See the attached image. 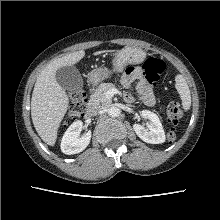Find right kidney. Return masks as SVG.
<instances>
[{
	"label": "right kidney",
	"instance_id": "ca27d5eb",
	"mask_svg": "<svg viewBox=\"0 0 220 220\" xmlns=\"http://www.w3.org/2000/svg\"><path fill=\"white\" fill-rule=\"evenodd\" d=\"M82 128V121H76L66 130L61 140V151L64 154H77L82 152L88 146L91 140V131L89 130L80 137Z\"/></svg>",
	"mask_w": 220,
	"mask_h": 220
}]
</instances>
